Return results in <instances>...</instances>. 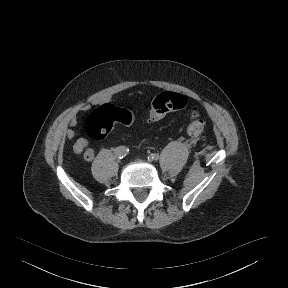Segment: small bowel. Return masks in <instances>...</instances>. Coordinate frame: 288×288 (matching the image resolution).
<instances>
[{
  "mask_svg": "<svg viewBox=\"0 0 288 288\" xmlns=\"http://www.w3.org/2000/svg\"><path fill=\"white\" fill-rule=\"evenodd\" d=\"M79 142H80V139L77 140V142L75 143V145L79 144ZM75 145H74V147H75ZM74 151H75V153H77V154L83 153L84 159H85L87 162H91V161L94 159V157H95V152H94V150H93L92 148H90V147L88 146L87 141L84 143V149H75V148H74Z\"/></svg>",
  "mask_w": 288,
  "mask_h": 288,
  "instance_id": "obj_1",
  "label": "small bowel"
}]
</instances>
